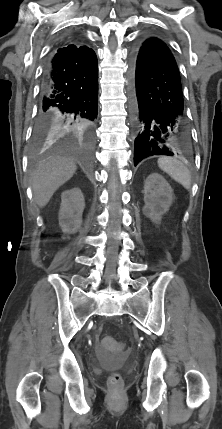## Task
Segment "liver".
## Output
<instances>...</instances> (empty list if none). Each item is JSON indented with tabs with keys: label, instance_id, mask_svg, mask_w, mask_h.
Masks as SVG:
<instances>
[{
	"label": "liver",
	"instance_id": "obj_1",
	"mask_svg": "<svg viewBox=\"0 0 222 429\" xmlns=\"http://www.w3.org/2000/svg\"><path fill=\"white\" fill-rule=\"evenodd\" d=\"M77 166L68 157H50L40 162L31 175V186L35 202L44 207L55 191L75 173Z\"/></svg>",
	"mask_w": 222,
	"mask_h": 429
}]
</instances>
